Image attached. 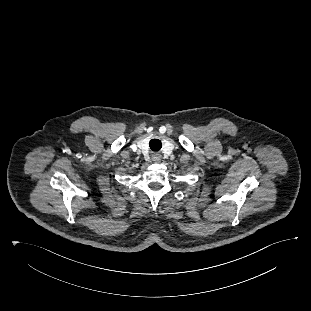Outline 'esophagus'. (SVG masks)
<instances>
[{
  "instance_id": "34e87169",
  "label": "esophagus",
  "mask_w": 311,
  "mask_h": 311,
  "mask_svg": "<svg viewBox=\"0 0 311 311\" xmlns=\"http://www.w3.org/2000/svg\"><path fill=\"white\" fill-rule=\"evenodd\" d=\"M152 160L155 163H159L161 161V156L159 154H154L153 157H152Z\"/></svg>"
}]
</instances>
